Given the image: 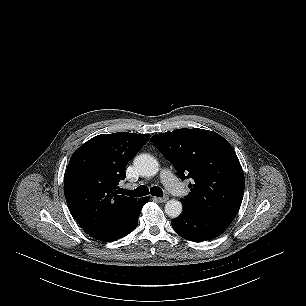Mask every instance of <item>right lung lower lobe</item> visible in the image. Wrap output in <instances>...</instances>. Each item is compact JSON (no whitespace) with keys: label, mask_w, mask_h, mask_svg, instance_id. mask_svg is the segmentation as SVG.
Listing matches in <instances>:
<instances>
[{"label":"right lung lower lobe","mask_w":306,"mask_h":306,"mask_svg":"<svg viewBox=\"0 0 306 306\" xmlns=\"http://www.w3.org/2000/svg\"><path fill=\"white\" fill-rule=\"evenodd\" d=\"M149 197H143L140 198L139 201L133 206L131 212L125 219V221L122 223V225L112 234L107 236L103 241L111 242L115 241L117 239H120L126 235H128L131 231H133L137 224H138V218L141 212L142 207L145 203L149 201Z\"/></svg>","instance_id":"98d812e1"}]
</instances>
